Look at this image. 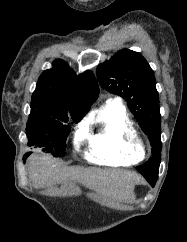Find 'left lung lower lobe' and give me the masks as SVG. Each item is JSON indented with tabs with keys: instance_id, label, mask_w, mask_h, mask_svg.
<instances>
[{
	"instance_id": "left-lung-lower-lobe-1",
	"label": "left lung lower lobe",
	"mask_w": 187,
	"mask_h": 242,
	"mask_svg": "<svg viewBox=\"0 0 187 242\" xmlns=\"http://www.w3.org/2000/svg\"><path fill=\"white\" fill-rule=\"evenodd\" d=\"M146 178V180L150 183V185L152 187H154L156 181H157V176H154V175H147V176H144Z\"/></svg>"
}]
</instances>
